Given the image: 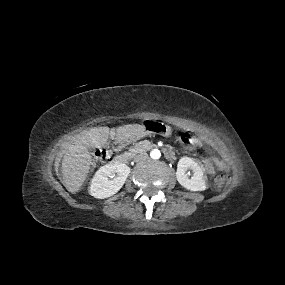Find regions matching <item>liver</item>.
I'll return each instance as SVG.
<instances>
[{
    "label": "liver",
    "mask_w": 285,
    "mask_h": 285,
    "mask_svg": "<svg viewBox=\"0 0 285 285\" xmlns=\"http://www.w3.org/2000/svg\"><path fill=\"white\" fill-rule=\"evenodd\" d=\"M142 124H129L118 127L116 132L109 127H93L83 131L76 137L74 142L68 146L61 164L62 180L71 193H76L83 185L92 161L89 147H101L108 141L109 135L116 136L119 140L134 139L142 134Z\"/></svg>",
    "instance_id": "obj_1"
}]
</instances>
